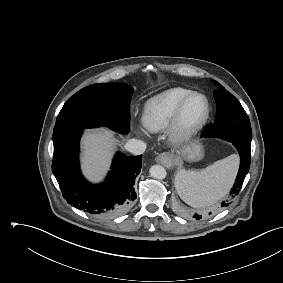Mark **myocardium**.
Segmentation results:
<instances>
[{"instance_id":"f54148a6","label":"myocardium","mask_w":283,"mask_h":283,"mask_svg":"<svg viewBox=\"0 0 283 283\" xmlns=\"http://www.w3.org/2000/svg\"><path fill=\"white\" fill-rule=\"evenodd\" d=\"M198 96L204 102V112L201 118L194 124L185 126L182 121L183 111L188 101ZM210 114V103L208 98L201 92H189L177 105L172 119L167 127L168 138L173 144H182L191 140L206 124Z\"/></svg>"}]
</instances>
